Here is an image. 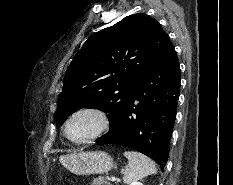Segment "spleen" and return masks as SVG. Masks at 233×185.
I'll return each mask as SVG.
<instances>
[{
    "instance_id": "1",
    "label": "spleen",
    "mask_w": 233,
    "mask_h": 185,
    "mask_svg": "<svg viewBox=\"0 0 233 185\" xmlns=\"http://www.w3.org/2000/svg\"><path fill=\"white\" fill-rule=\"evenodd\" d=\"M124 156L128 159L123 177L125 184L132 185L148 175L157 173L154 162L147 156L135 151H125Z\"/></svg>"
}]
</instances>
